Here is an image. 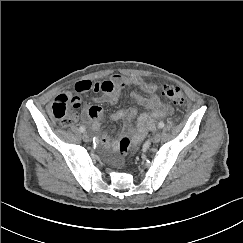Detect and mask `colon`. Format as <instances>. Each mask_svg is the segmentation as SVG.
Wrapping results in <instances>:
<instances>
[{
  "label": "colon",
  "mask_w": 243,
  "mask_h": 243,
  "mask_svg": "<svg viewBox=\"0 0 243 243\" xmlns=\"http://www.w3.org/2000/svg\"><path fill=\"white\" fill-rule=\"evenodd\" d=\"M161 95L164 99L170 101L176 106H184L186 99L179 87L172 85H163L161 88ZM52 113L55 118L59 119L63 125H68L69 115L67 114V104L63 102H54L52 105ZM131 148V140L124 137L119 142V152L125 157Z\"/></svg>",
  "instance_id": "colon-1"
}]
</instances>
